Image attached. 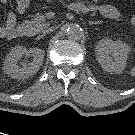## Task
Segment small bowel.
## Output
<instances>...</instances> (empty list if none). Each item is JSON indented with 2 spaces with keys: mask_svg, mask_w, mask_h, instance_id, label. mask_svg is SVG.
Wrapping results in <instances>:
<instances>
[{
  "mask_svg": "<svg viewBox=\"0 0 135 135\" xmlns=\"http://www.w3.org/2000/svg\"><path fill=\"white\" fill-rule=\"evenodd\" d=\"M9 0H1L4 4H8ZM96 2L98 0H95ZM28 0H16L15 8H11L8 11L5 24H0V38L9 37L13 38L16 33L17 19L16 14L22 15L26 11ZM80 8H86V6H79ZM99 12L108 19H117L119 17V11L116 7L109 4H101L97 6Z\"/></svg>",
  "mask_w": 135,
  "mask_h": 135,
  "instance_id": "small-bowel-1",
  "label": "small bowel"
}]
</instances>
